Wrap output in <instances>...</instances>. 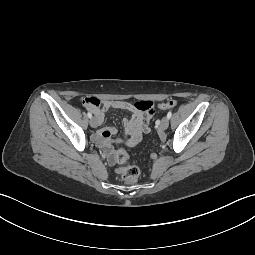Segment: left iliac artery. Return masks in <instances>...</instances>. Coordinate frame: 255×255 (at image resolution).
Returning a JSON list of instances; mask_svg holds the SVG:
<instances>
[{
	"instance_id": "1",
	"label": "left iliac artery",
	"mask_w": 255,
	"mask_h": 255,
	"mask_svg": "<svg viewBox=\"0 0 255 255\" xmlns=\"http://www.w3.org/2000/svg\"><path fill=\"white\" fill-rule=\"evenodd\" d=\"M171 116H172V112H171V111H169V112H168V114H167L168 119H170V118H171Z\"/></svg>"
}]
</instances>
